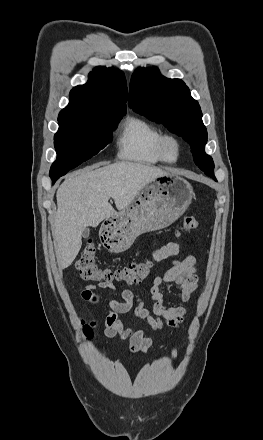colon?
Here are the masks:
<instances>
[{
	"label": "colon",
	"mask_w": 263,
	"mask_h": 440,
	"mask_svg": "<svg viewBox=\"0 0 263 440\" xmlns=\"http://www.w3.org/2000/svg\"><path fill=\"white\" fill-rule=\"evenodd\" d=\"M198 225L194 216L187 215L183 218L181 230H195ZM76 268L84 280L104 282L109 285L115 283L134 285L142 282L150 274L152 263L141 261L119 268L101 267L97 263L96 247L92 241H88L76 262ZM84 333L88 339L93 336V323H85Z\"/></svg>",
	"instance_id": "5ec220e1"
}]
</instances>
